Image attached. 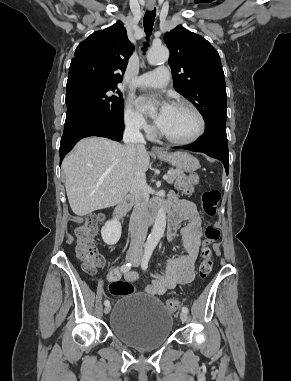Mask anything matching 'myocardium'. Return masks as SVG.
Returning a JSON list of instances; mask_svg holds the SVG:
<instances>
[{
  "label": "myocardium",
  "mask_w": 291,
  "mask_h": 381,
  "mask_svg": "<svg viewBox=\"0 0 291 381\" xmlns=\"http://www.w3.org/2000/svg\"><path fill=\"white\" fill-rule=\"evenodd\" d=\"M174 107H183V108H187V109L191 110L198 118V121H199L198 129L193 136H191L189 138H185V139H177V138L171 137V136L163 133L159 129L160 137L165 139L166 141H168L170 143L178 144V145H188V144H192V143L198 141L203 136V134L205 133V130H206V120H205L203 113L199 110V108L197 106H195L193 103H191L189 101H178L174 104Z\"/></svg>",
  "instance_id": "f54148a6"
}]
</instances>
